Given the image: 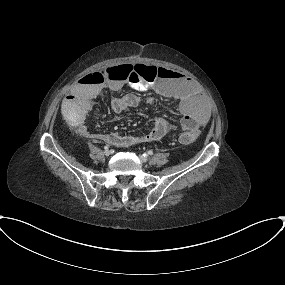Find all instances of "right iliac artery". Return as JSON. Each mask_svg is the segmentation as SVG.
<instances>
[{
    "label": "right iliac artery",
    "mask_w": 285,
    "mask_h": 285,
    "mask_svg": "<svg viewBox=\"0 0 285 285\" xmlns=\"http://www.w3.org/2000/svg\"><path fill=\"white\" fill-rule=\"evenodd\" d=\"M104 149H105V150H108V149H109V147L106 145V146H104Z\"/></svg>",
    "instance_id": "82829eb1"
}]
</instances>
